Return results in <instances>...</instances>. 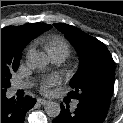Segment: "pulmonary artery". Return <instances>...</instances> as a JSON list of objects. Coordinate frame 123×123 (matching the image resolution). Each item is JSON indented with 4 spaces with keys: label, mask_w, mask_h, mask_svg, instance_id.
Instances as JSON below:
<instances>
[{
    "label": "pulmonary artery",
    "mask_w": 123,
    "mask_h": 123,
    "mask_svg": "<svg viewBox=\"0 0 123 123\" xmlns=\"http://www.w3.org/2000/svg\"><path fill=\"white\" fill-rule=\"evenodd\" d=\"M51 57H52L53 62H55V63H62L66 59L67 55L64 54V53H57V54L52 55ZM28 86H29V84L28 83H24V82L15 83L12 86V90L16 91V90H19V89L27 88ZM77 104H78V102L74 101L73 104H72V107L76 108Z\"/></svg>",
    "instance_id": "obj_1"
}]
</instances>
